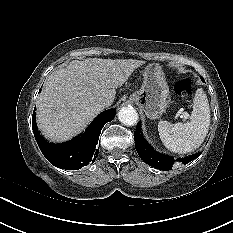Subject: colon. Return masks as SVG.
Returning <instances> with one entry per match:
<instances>
[{
	"mask_svg": "<svg viewBox=\"0 0 233 233\" xmlns=\"http://www.w3.org/2000/svg\"><path fill=\"white\" fill-rule=\"evenodd\" d=\"M175 92L182 98H186L192 91V80L190 78H180L174 83Z\"/></svg>",
	"mask_w": 233,
	"mask_h": 233,
	"instance_id": "obj_1",
	"label": "colon"
}]
</instances>
